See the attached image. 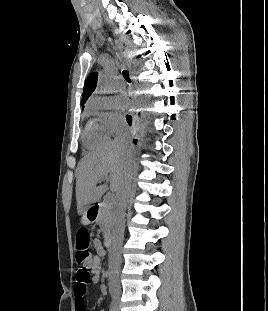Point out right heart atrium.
Returning a JSON list of instances; mask_svg holds the SVG:
<instances>
[{
	"label": "right heart atrium",
	"instance_id": "1",
	"mask_svg": "<svg viewBox=\"0 0 268 311\" xmlns=\"http://www.w3.org/2000/svg\"><path fill=\"white\" fill-rule=\"evenodd\" d=\"M88 111L108 135H114L124 127L123 117L109 97H93L88 104Z\"/></svg>",
	"mask_w": 268,
	"mask_h": 311
}]
</instances>
